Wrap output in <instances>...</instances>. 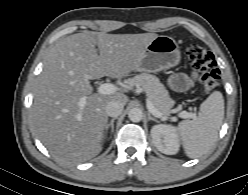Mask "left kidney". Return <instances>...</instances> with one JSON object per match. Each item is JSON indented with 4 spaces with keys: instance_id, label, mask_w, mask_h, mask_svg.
Returning <instances> with one entry per match:
<instances>
[{
    "instance_id": "5707ae66",
    "label": "left kidney",
    "mask_w": 248,
    "mask_h": 195,
    "mask_svg": "<svg viewBox=\"0 0 248 195\" xmlns=\"http://www.w3.org/2000/svg\"><path fill=\"white\" fill-rule=\"evenodd\" d=\"M151 136L155 147L160 152L173 155L179 151V138L173 126L166 124L155 125L151 129Z\"/></svg>"
}]
</instances>
